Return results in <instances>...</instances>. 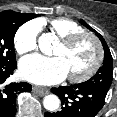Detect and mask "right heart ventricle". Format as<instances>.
I'll list each match as a JSON object with an SVG mask.
<instances>
[{
  "instance_id": "1",
  "label": "right heart ventricle",
  "mask_w": 117,
  "mask_h": 117,
  "mask_svg": "<svg viewBox=\"0 0 117 117\" xmlns=\"http://www.w3.org/2000/svg\"><path fill=\"white\" fill-rule=\"evenodd\" d=\"M49 29L59 38L65 37L72 33L84 31L83 28L68 18H55L48 22Z\"/></svg>"
}]
</instances>
